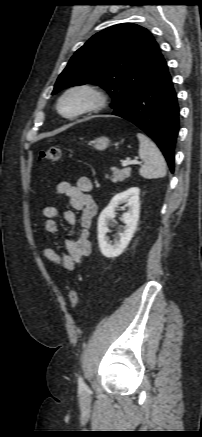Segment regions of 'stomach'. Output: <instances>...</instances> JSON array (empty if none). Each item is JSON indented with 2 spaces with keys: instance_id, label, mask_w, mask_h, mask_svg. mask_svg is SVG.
Here are the masks:
<instances>
[{
  "instance_id": "obj_1",
  "label": "stomach",
  "mask_w": 202,
  "mask_h": 437,
  "mask_svg": "<svg viewBox=\"0 0 202 437\" xmlns=\"http://www.w3.org/2000/svg\"><path fill=\"white\" fill-rule=\"evenodd\" d=\"M92 143L96 150H105L110 145V140L107 137H100L95 139Z\"/></svg>"
}]
</instances>
